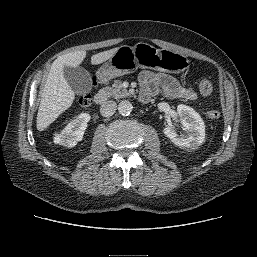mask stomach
<instances>
[{"mask_svg": "<svg viewBox=\"0 0 257 257\" xmlns=\"http://www.w3.org/2000/svg\"><path fill=\"white\" fill-rule=\"evenodd\" d=\"M190 66L188 58L182 54L157 49L147 43H137L133 47L121 46L116 53L103 64L97 74L101 80L123 76L135 72L138 68L180 73Z\"/></svg>", "mask_w": 257, "mask_h": 257, "instance_id": "stomach-1", "label": "stomach"}]
</instances>
